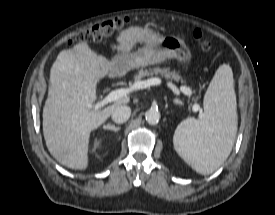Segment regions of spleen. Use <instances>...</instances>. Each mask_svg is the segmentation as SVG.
Instances as JSON below:
<instances>
[{
    "instance_id": "3e777b00",
    "label": "spleen",
    "mask_w": 275,
    "mask_h": 215,
    "mask_svg": "<svg viewBox=\"0 0 275 215\" xmlns=\"http://www.w3.org/2000/svg\"><path fill=\"white\" fill-rule=\"evenodd\" d=\"M203 104L202 118L183 120L175 130L173 143L188 165L208 175L228 158L237 132L236 95L229 65L217 69Z\"/></svg>"
}]
</instances>
